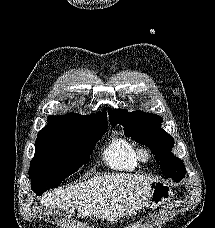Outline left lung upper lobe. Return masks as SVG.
<instances>
[{
  "instance_id": "left-lung-upper-lobe-1",
  "label": "left lung upper lobe",
  "mask_w": 215,
  "mask_h": 228,
  "mask_svg": "<svg viewBox=\"0 0 215 228\" xmlns=\"http://www.w3.org/2000/svg\"><path fill=\"white\" fill-rule=\"evenodd\" d=\"M108 112L113 126L123 125L126 136L152 150L155 159L160 161L165 178L179 182L184 177L186 170L183 162L171 153L174 139L160 128L161 117L142 111L127 113V110H112L111 108H108Z\"/></svg>"
}]
</instances>
